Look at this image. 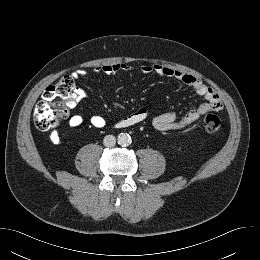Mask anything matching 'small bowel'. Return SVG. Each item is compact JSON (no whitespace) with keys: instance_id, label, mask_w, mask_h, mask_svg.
Listing matches in <instances>:
<instances>
[{"instance_id":"1","label":"small bowel","mask_w":260,"mask_h":260,"mask_svg":"<svg viewBox=\"0 0 260 260\" xmlns=\"http://www.w3.org/2000/svg\"><path fill=\"white\" fill-rule=\"evenodd\" d=\"M95 72L103 73L106 75H113L121 71H130L131 68L126 63H111L96 67ZM141 71L144 74H156L162 77L174 78L180 81L187 87L192 88L198 95L205 98L206 102L200 104L197 108L188 111L184 116L178 118L173 113H165L156 116L152 125L154 129L160 132L165 131H178L186 129L190 124L198 120L204 114L211 111H221L223 109V102L218 93L205 84L199 78L186 74L182 71L172 69L164 65H148L145 64L141 67ZM86 75V71L83 69H78L73 72V77L76 79L82 78ZM84 92L81 88L77 89V100L72 102L69 107L73 108L76 102L82 98ZM150 114L148 106L140 107L136 112L122 117L115 122L116 128H127L137 124H140L148 119ZM83 122L81 115L74 114L68 116V124L72 128L79 127ZM91 124L94 127L102 128L106 125V120L99 115H95L91 118ZM50 140L52 143H59L60 136L58 133L54 132L50 135Z\"/></svg>"}]
</instances>
